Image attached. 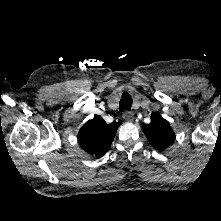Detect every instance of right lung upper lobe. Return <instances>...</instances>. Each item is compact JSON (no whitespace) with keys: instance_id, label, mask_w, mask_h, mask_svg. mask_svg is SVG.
Instances as JSON below:
<instances>
[{"instance_id":"right-lung-upper-lobe-1","label":"right lung upper lobe","mask_w":221,"mask_h":221,"mask_svg":"<svg viewBox=\"0 0 221 221\" xmlns=\"http://www.w3.org/2000/svg\"><path fill=\"white\" fill-rule=\"evenodd\" d=\"M120 124H106L102 117L95 116L80 129L78 143L86 152L100 158L109 150Z\"/></svg>"}]
</instances>
